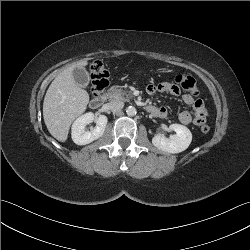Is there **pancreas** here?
Wrapping results in <instances>:
<instances>
[{
    "label": "pancreas",
    "mask_w": 250,
    "mask_h": 250,
    "mask_svg": "<svg viewBox=\"0 0 250 250\" xmlns=\"http://www.w3.org/2000/svg\"><path fill=\"white\" fill-rule=\"evenodd\" d=\"M107 95L111 101H129L131 99V92L119 88V86H112Z\"/></svg>",
    "instance_id": "obj_1"
}]
</instances>
